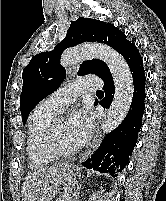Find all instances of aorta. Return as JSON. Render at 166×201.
<instances>
[{
	"mask_svg": "<svg viewBox=\"0 0 166 201\" xmlns=\"http://www.w3.org/2000/svg\"><path fill=\"white\" fill-rule=\"evenodd\" d=\"M91 58L104 61L114 81V98L102 125L103 133L108 134L121 124L130 109L134 93L133 78L123 56L103 44H84L68 49L60 62L64 67H70Z\"/></svg>",
	"mask_w": 166,
	"mask_h": 201,
	"instance_id": "aorta-1",
	"label": "aorta"
}]
</instances>
